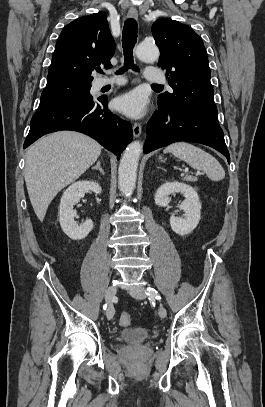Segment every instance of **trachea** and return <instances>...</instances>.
<instances>
[{"instance_id": "obj_1", "label": "trachea", "mask_w": 265, "mask_h": 407, "mask_svg": "<svg viewBox=\"0 0 265 407\" xmlns=\"http://www.w3.org/2000/svg\"><path fill=\"white\" fill-rule=\"evenodd\" d=\"M137 29L138 25L135 19L130 18L125 21L122 33V46L125 64L124 67L120 68V70L117 72L118 74L124 73L128 68L138 71V68L134 66L133 61V48L137 42ZM98 72L102 73L101 70ZM153 86L161 87V85L158 84H153Z\"/></svg>"}]
</instances>
